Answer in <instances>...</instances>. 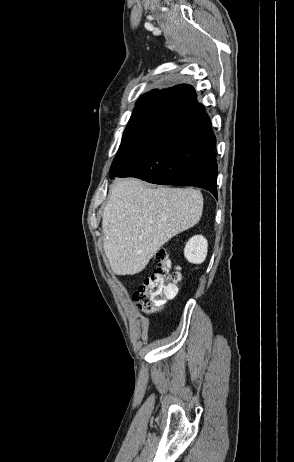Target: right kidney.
Segmentation results:
<instances>
[{
    "instance_id": "1",
    "label": "right kidney",
    "mask_w": 294,
    "mask_h": 462,
    "mask_svg": "<svg viewBox=\"0 0 294 462\" xmlns=\"http://www.w3.org/2000/svg\"><path fill=\"white\" fill-rule=\"evenodd\" d=\"M208 242L202 235H195L189 239L185 248V258L193 264H201L207 256Z\"/></svg>"
}]
</instances>
